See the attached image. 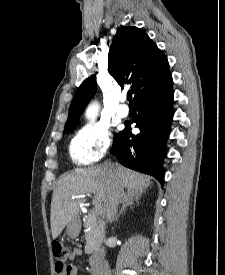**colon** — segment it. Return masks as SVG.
Segmentation results:
<instances>
[{"instance_id": "colon-1", "label": "colon", "mask_w": 225, "mask_h": 275, "mask_svg": "<svg viewBox=\"0 0 225 275\" xmlns=\"http://www.w3.org/2000/svg\"><path fill=\"white\" fill-rule=\"evenodd\" d=\"M53 256L57 260L55 272L56 275H64L68 268L66 265V260L69 256V250L65 244L55 241L52 243Z\"/></svg>"}]
</instances>
